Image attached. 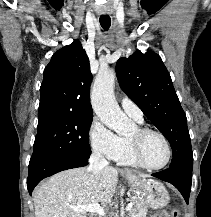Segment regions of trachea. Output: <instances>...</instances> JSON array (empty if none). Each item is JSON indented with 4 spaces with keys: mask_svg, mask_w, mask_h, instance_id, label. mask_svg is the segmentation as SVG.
<instances>
[{
    "mask_svg": "<svg viewBox=\"0 0 211 217\" xmlns=\"http://www.w3.org/2000/svg\"><path fill=\"white\" fill-rule=\"evenodd\" d=\"M99 21H100V24L104 30H108L110 28V25H111L110 17L101 16Z\"/></svg>",
    "mask_w": 211,
    "mask_h": 217,
    "instance_id": "trachea-1",
    "label": "trachea"
}]
</instances>
